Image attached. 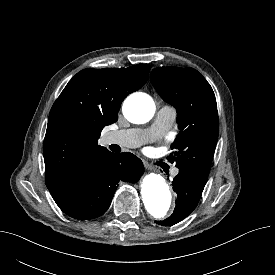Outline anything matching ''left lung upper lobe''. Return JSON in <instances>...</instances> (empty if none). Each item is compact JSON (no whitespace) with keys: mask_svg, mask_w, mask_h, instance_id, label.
<instances>
[{"mask_svg":"<svg viewBox=\"0 0 275 275\" xmlns=\"http://www.w3.org/2000/svg\"><path fill=\"white\" fill-rule=\"evenodd\" d=\"M151 81L162 99L177 110L180 129L168 157L176 167L195 168L209 175L218 140L219 119L215 94L195 69L160 67Z\"/></svg>","mask_w":275,"mask_h":275,"instance_id":"5c2ea615","label":"left lung upper lobe"}]
</instances>
